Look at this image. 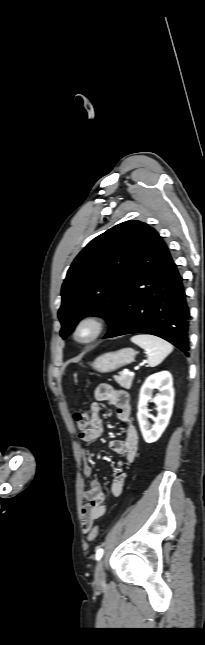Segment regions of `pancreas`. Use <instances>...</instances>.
<instances>
[{
  "label": "pancreas",
  "instance_id": "pancreas-1",
  "mask_svg": "<svg viewBox=\"0 0 205 645\" xmlns=\"http://www.w3.org/2000/svg\"><path fill=\"white\" fill-rule=\"evenodd\" d=\"M133 376L125 375L124 373H119V375L114 376L115 381L123 388L130 389L133 381Z\"/></svg>",
  "mask_w": 205,
  "mask_h": 645
}]
</instances>
